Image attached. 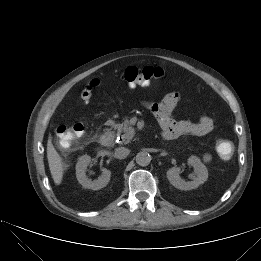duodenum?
<instances>
[{
  "mask_svg": "<svg viewBox=\"0 0 261 261\" xmlns=\"http://www.w3.org/2000/svg\"><path fill=\"white\" fill-rule=\"evenodd\" d=\"M100 143L104 147H110L114 143V135L110 131H105L100 136Z\"/></svg>",
  "mask_w": 261,
  "mask_h": 261,
  "instance_id": "1",
  "label": "duodenum"
}]
</instances>
